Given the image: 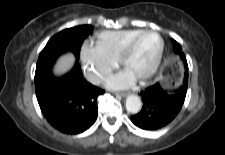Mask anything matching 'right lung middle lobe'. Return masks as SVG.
<instances>
[{"label":"right lung middle lobe","instance_id":"obj_1","mask_svg":"<svg viewBox=\"0 0 225 155\" xmlns=\"http://www.w3.org/2000/svg\"><path fill=\"white\" fill-rule=\"evenodd\" d=\"M92 30V26L82 25L65 29L54 35L39 55L35 78L40 77L46 70L50 69L59 54L67 50L72 51L78 61L82 42Z\"/></svg>","mask_w":225,"mask_h":155}]
</instances>
